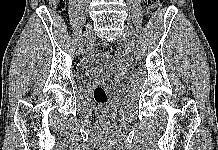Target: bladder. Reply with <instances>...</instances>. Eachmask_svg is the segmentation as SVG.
I'll use <instances>...</instances> for the list:
<instances>
[{"label": "bladder", "instance_id": "obj_1", "mask_svg": "<svg viewBox=\"0 0 218 150\" xmlns=\"http://www.w3.org/2000/svg\"><path fill=\"white\" fill-rule=\"evenodd\" d=\"M114 68L110 59L105 57H93L85 66L83 74L86 79L109 77L113 73Z\"/></svg>", "mask_w": 218, "mask_h": 150}]
</instances>
